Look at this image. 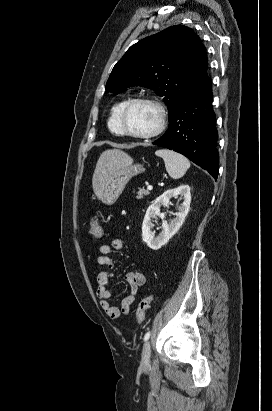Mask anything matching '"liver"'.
Listing matches in <instances>:
<instances>
[{
    "label": "liver",
    "mask_w": 272,
    "mask_h": 411,
    "mask_svg": "<svg viewBox=\"0 0 272 411\" xmlns=\"http://www.w3.org/2000/svg\"><path fill=\"white\" fill-rule=\"evenodd\" d=\"M130 161L131 157L119 149H109L100 155L92 178L93 190L98 197L110 175Z\"/></svg>",
    "instance_id": "6515ba94"
}]
</instances>
